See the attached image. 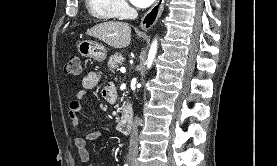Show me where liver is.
Wrapping results in <instances>:
<instances>
[{
    "instance_id": "obj_1",
    "label": "liver",
    "mask_w": 277,
    "mask_h": 166,
    "mask_svg": "<svg viewBox=\"0 0 277 166\" xmlns=\"http://www.w3.org/2000/svg\"><path fill=\"white\" fill-rule=\"evenodd\" d=\"M87 35L95 37L113 48H125L131 41V27L128 23L108 21L90 28Z\"/></svg>"
}]
</instances>
